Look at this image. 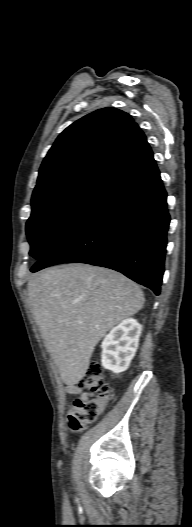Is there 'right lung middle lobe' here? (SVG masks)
I'll return each instance as SVG.
<instances>
[{
    "label": "right lung middle lobe",
    "mask_w": 192,
    "mask_h": 527,
    "mask_svg": "<svg viewBox=\"0 0 192 527\" xmlns=\"http://www.w3.org/2000/svg\"><path fill=\"white\" fill-rule=\"evenodd\" d=\"M99 178H83L32 196V213L26 232L30 255L40 260L78 219L106 184Z\"/></svg>",
    "instance_id": "obj_1"
}]
</instances>
